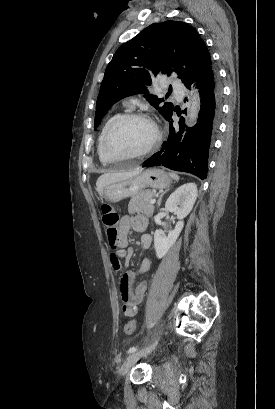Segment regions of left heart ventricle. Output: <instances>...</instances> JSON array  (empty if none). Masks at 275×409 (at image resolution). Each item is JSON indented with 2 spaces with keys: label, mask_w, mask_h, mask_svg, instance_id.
I'll list each match as a JSON object with an SVG mask.
<instances>
[{
  "label": "left heart ventricle",
  "mask_w": 275,
  "mask_h": 409,
  "mask_svg": "<svg viewBox=\"0 0 275 409\" xmlns=\"http://www.w3.org/2000/svg\"><path fill=\"white\" fill-rule=\"evenodd\" d=\"M151 135L149 126L139 120H125L112 132L106 145L109 157H120L142 148Z\"/></svg>",
  "instance_id": "obj_1"
}]
</instances>
